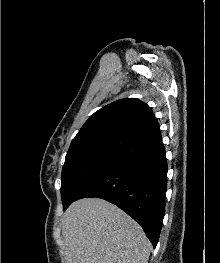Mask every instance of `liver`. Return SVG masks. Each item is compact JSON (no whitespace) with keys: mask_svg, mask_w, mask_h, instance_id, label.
I'll list each match as a JSON object with an SVG mask.
<instances>
[{"mask_svg":"<svg viewBox=\"0 0 220 263\" xmlns=\"http://www.w3.org/2000/svg\"><path fill=\"white\" fill-rule=\"evenodd\" d=\"M66 263H148L143 229L117 206L99 199L73 202L62 217Z\"/></svg>","mask_w":220,"mask_h":263,"instance_id":"obj_1","label":"liver"}]
</instances>
